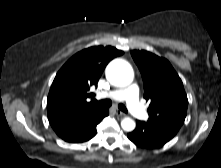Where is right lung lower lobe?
<instances>
[{"instance_id": "98d812e1", "label": "right lung lower lobe", "mask_w": 221, "mask_h": 168, "mask_svg": "<svg viewBox=\"0 0 221 168\" xmlns=\"http://www.w3.org/2000/svg\"><path fill=\"white\" fill-rule=\"evenodd\" d=\"M109 114L107 108L92 117H84L67 125L52 127L56 134L66 142L81 143L90 140L96 134V126Z\"/></svg>"}]
</instances>
